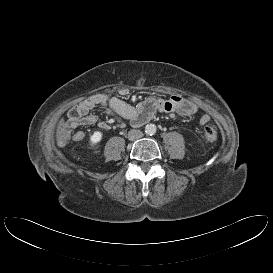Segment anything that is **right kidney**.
Returning <instances> with one entry per match:
<instances>
[{"mask_svg": "<svg viewBox=\"0 0 273 273\" xmlns=\"http://www.w3.org/2000/svg\"><path fill=\"white\" fill-rule=\"evenodd\" d=\"M102 136H103L102 132L95 131L94 134L90 137V145L94 146L98 144L101 141Z\"/></svg>", "mask_w": 273, "mask_h": 273, "instance_id": "ca27d5eb", "label": "right kidney"}]
</instances>
